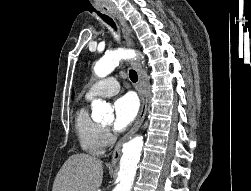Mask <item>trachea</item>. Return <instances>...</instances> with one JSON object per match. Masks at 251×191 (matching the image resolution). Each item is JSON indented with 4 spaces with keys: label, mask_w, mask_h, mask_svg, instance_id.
Segmentation results:
<instances>
[{
    "label": "trachea",
    "mask_w": 251,
    "mask_h": 191,
    "mask_svg": "<svg viewBox=\"0 0 251 191\" xmlns=\"http://www.w3.org/2000/svg\"><path fill=\"white\" fill-rule=\"evenodd\" d=\"M101 17L107 24H109L111 27H113V29H115V23L110 17H108L107 15H101ZM129 78L131 81H133V83H136L138 81V75L135 70L131 69L129 71Z\"/></svg>",
    "instance_id": "obj_1"
}]
</instances>
